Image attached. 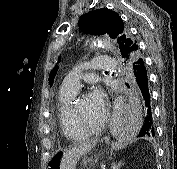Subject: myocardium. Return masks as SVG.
Segmentation results:
<instances>
[{
    "mask_svg": "<svg viewBox=\"0 0 177 169\" xmlns=\"http://www.w3.org/2000/svg\"><path fill=\"white\" fill-rule=\"evenodd\" d=\"M85 95H86L85 93H81L78 96V98L75 100L74 104L72 105V113H73L74 121H75L77 129L81 133L86 134V135L97 134V133L101 132L102 130H104V128L106 127V125L109 121V113H108V111L104 112V117L98 125L86 124L84 122V120L82 119L81 115L79 114V111L77 108V103H78L79 99Z\"/></svg>",
    "mask_w": 177,
    "mask_h": 169,
    "instance_id": "myocardium-1",
    "label": "myocardium"
}]
</instances>
